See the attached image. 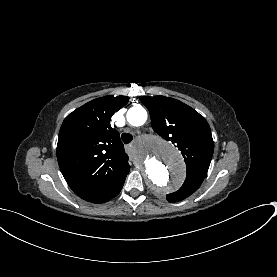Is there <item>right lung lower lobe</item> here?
Wrapping results in <instances>:
<instances>
[{
    "label": "right lung lower lobe",
    "mask_w": 277,
    "mask_h": 277,
    "mask_svg": "<svg viewBox=\"0 0 277 277\" xmlns=\"http://www.w3.org/2000/svg\"><path fill=\"white\" fill-rule=\"evenodd\" d=\"M93 166H94V165H93L92 163L83 165V164L81 163V161H78V162H76V166L73 167L72 170L80 171V170H83V169H92ZM111 172H112V169H111V168H99V169L97 170V173H95V175H96V176H103V175H104L105 177H107V176L110 175ZM121 189H122V188H121ZM121 189H119V191L114 195V197H115L116 195L119 194V192L121 191ZM114 197H113V198H114Z\"/></svg>",
    "instance_id": "1"
}]
</instances>
